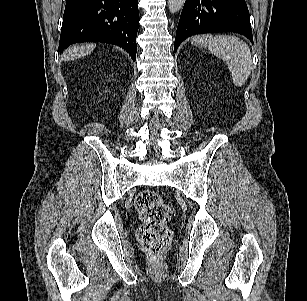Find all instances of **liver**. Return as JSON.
Listing matches in <instances>:
<instances>
[{
    "mask_svg": "<svg viewBox=\"0 0 307 301\" xmlns=\"http://www.w3.org/2000/svg\"><path fill=\"white\" fill-rule=\"evenodd\" d=\"M96 45L94 44H86V45H75L68 48L62 56L64 61L74 60L80 57H84L90 54Z\"/></svg>",
    "mask_w": 307,
    "mask_h": 301,
    "instance_id": "obj_1",
    "label": "liver"
}]
</instances>
